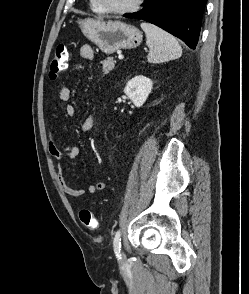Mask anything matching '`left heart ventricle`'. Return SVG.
Listing matches in <instances>:
<instances>
[{"instance_id":"1","label":"left heart ventricle","mask_w":249,"mask_h":294,"mask_svg":"<svg viewBox=\"0 0 249 294\" xmlns=\"http://www.w3.org/2000/svg\"><path fill=\"white\" fill-rule=\"evenodd\" d=\"M103 5L110 7V8H115V9H120L128 6L131 4L134 0H101Z\"/></svg>"}]
</instances>
